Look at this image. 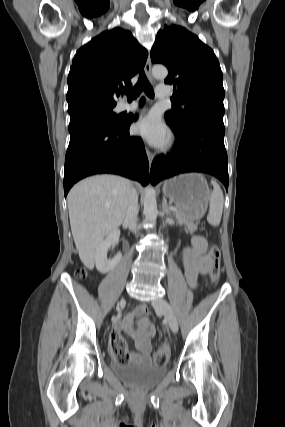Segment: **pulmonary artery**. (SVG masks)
<instances>
[{
  "mask_svg": "<svg viewBox=\"0 0 285 427\" xmlns=\"http://www.w3.org/2000/svg\"><path fill=\"white\" fill-rule=\"evenodd\" d=\"M156 95L159 98H167L171 95V87L169 85H159L156 89ZM139 106L137 101L132 102H121L118 105V110L121 112L124 111H133Z\"/></svg>",
  "mask_w": 285,
  "mask_h": 427,
  "instance_id": "pulmonary-artery-1",
  "label": "pulmonary artery"
}]
</instances>
